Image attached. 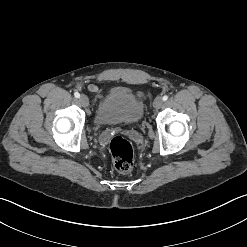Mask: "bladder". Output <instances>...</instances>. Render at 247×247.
Here are the masks:
<instances>
[{
    "label": "bladder",
    "mask_w": 247,
    "mask_h": 247,
    "mask_svg": "<svg viewBox=\"0 0 247 247\" xmlns=\"http://www.w3.org/2000/svg\"><path fill=\"white\" fill-rule=\"evenodd\" d=\"M144 115V104L125 87L112 88L99 104L94 122L97 126H111L139 122Z\"/></svg>",
    "instance_id": "obj_1"
}]
</instances>
